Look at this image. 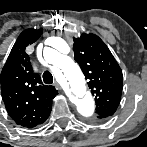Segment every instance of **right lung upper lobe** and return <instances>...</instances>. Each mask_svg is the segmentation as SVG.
Listing matches in <instances>:
<instances>
[{
    "mask_svg": "<svg viewBox=\"0 0 147 147\" xmlns=\"http://www.w3.org/2000/svg\"><path fill=\"white\" fill-rule=\"evenodd\" d=\"M43 29L24 30L17 38L1 72L2 98L8 114L23 127L33 128L45 122L52 109V99L58 94L53 86L42 83L34 73L25 52L39 39Z\"/></svg>",
    "mask_w": 147,
    "mask_h": 147,
    "instance_id": "1",
    "label": "right lung upper lobe"
}]
</instances>
